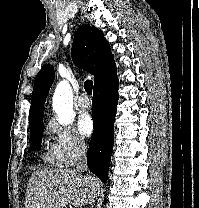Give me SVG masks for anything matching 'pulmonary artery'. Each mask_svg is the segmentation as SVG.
I'll list each match as a JSON object with an SVG mask.
<instances>
[{"instance_id": "e3ab8cb5", "label": "pulmonary artery", "mask_w": 199, "mask_h": 208, "mask_svg": "<svg viewBox=\"0 0 199 208\" xmlns=\"http://www.w3.org/2000/svg\"><path fill=\"white\" fill-rule=\"evenodd\" d=\"M77 105L80 108H88L91 105V102L87 96V94L83 93L79 96V98L77 99Z\"/></svg>"}]
</instances>
